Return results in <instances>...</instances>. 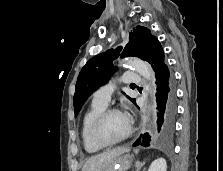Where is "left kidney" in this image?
<instances>
[{
    "mask_svg": "<svg viewBox=\"0 0 223 171\" xmlns=\"http://www.w3.org/2000/svg\"><path fill=\"white\" fill-rule=\"evenodd\" d=\"M148 171H167L166 160L164 158H158L154 160L151 163Z\"/></svg>",
    "mask_w": 223,
    "mask_h": 171,
    "instance_id": "left-kidney-1",
    "label": "left kidney"
}]
</instances>
